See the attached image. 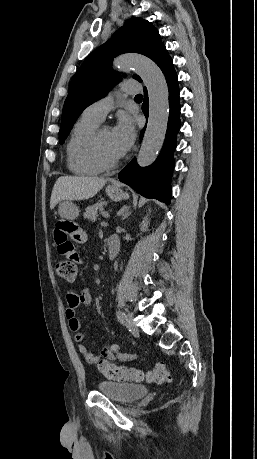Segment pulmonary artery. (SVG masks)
<instances>
[{
    "instance_id": "e3ab8cb5",
    "label": "pulmonary artery",
    "mask_w": 257,
    "mask_h": 459,
    "mask_svg": "<svg viewBox=\"0 0 257 459\" xmlns=\"http://www.w3.org/2000/svg\"><path fill=\"white\" fill-rule=\"evenodd\" d=\"M136 82L133 80H126L123 82L121 86V92L125 94H135L138 92V89L133 87L131 84H135ZM113 97L112 95H108L91 105H89L85 111L84 114L96 119L99 122H102L106 116V114L109 112V110L113 107Z\"/></svg>"
}]
</instances>
